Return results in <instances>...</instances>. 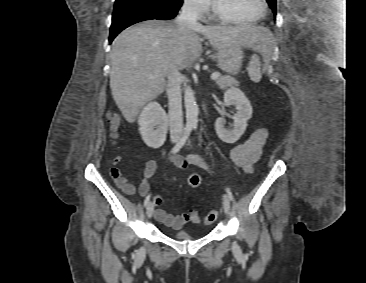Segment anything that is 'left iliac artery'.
<instances>
[{
  "instance_id": "obj_1",
  "label": "left iliac artery",
  "mask_w": 366,
  "mask_h": 283,
  "mask_svg": "<svg viewBox=\"0 0 366 283\" xmlns=\"http://www.w3.org/2000/svg\"><path fill=\"white\" fill-rule=\"evenodd\" d=\"M194 129H196V126H194ZM226 192L228 194V197H229V200H233V195H232V192L230 191L229 188H226Z\"/></svg>"
}]
</instances>
